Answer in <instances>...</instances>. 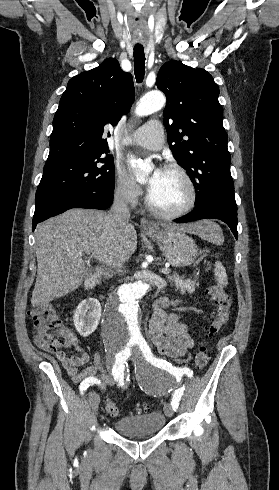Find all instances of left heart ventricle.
Instances as JSON below:
<instances>
[{
    "instance_id": "left-heart-ventricle-1",
    "label": "left heart ventricle",
    "mask_w": 279,
    "mask_h": 490,
    "mask_svg": "<svg viewBox=\"0 0 279 490\" xmlns=\"http://www.w3.org/2000/svg\"><path fill=\"white\" fill-rule=\"evenodd\" d=\"M188 195L184 180L176 173L164 170L162 182L151 199L163 209L176 210L187 200Z\"/></svg>"
}]
</instances>
